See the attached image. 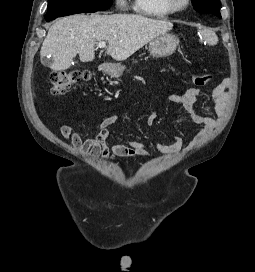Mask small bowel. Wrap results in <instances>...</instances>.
<instances>
[{"instance_id":"small-bowel-1","label":"small bowel","mask_w":255,"mask_h":272,"mask_svg":"<svg viewBox=\"0 0 255 272\" xmlns=\"http://www.w3.org/2000/svg\"><path fill=\"white\" fill-rule=\"evenodd\" d=\"M229 86L230 80L225 79L211 91L210 98L214 105V116L203 115L196 111L195 104L202 95L200 88H189L183 93L170 94V101L185 109L193 123L198 126V131L193 140L194 144L203 140L222 121L228 104L227 89ZM143 106L148 111L146 124L148 127H153L158 119V112L149 105L144 104ZM119 120L120 117L118 115L105 117L99 125L97 135L86 140H83L80 133L69 124L63 125L60 132L62 137L70 140L77 150L92 159L134 156L151 157L152 154L149 152L148 145L142 142L130 141L126 144L108 146L107 141L111 137L109 127L116 124ZM183 145V137L175 135L165 143H156L155 148L159 152L178 153L183 148Z\"/></svg>"}]
</instances>
